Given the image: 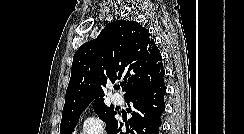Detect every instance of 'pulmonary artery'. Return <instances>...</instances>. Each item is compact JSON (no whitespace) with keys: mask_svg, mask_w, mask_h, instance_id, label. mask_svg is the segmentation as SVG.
<instances>
[{"mask_svg":"<svg viewBox=\"0 0 244 134\" xmlns=\"http://www.w3.org/2000/svg\"><path fill=\"white\" fill-rule=\"evenodd\" d=\"M113 102L117 105L121 104L122 103V98L118 95H114L113 98H112Z\"/></svg>","mask_w":244,"mask_h":134,"instance_id":"1","label":"pulmonary artery"}]
</instances>
